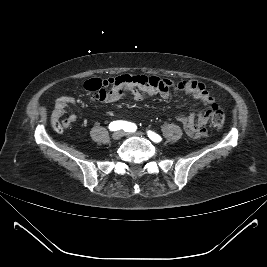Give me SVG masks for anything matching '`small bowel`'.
<instances>
[{
    "instance_id": "small-bowel-1",
    "label": "small bowel",
    "mask_w": 267,
    "mask_h": 267,
    "mask_svg": "<svg viewBox=\"0 0 267 267\" xmlns=\"http://www.w3.org/2000/svg\"><path fill=\"white\" fill-rule=\"evenodd\" d=\"M146 76L124 74L107 79L92 78L84 83V87L91 93L94 101L103 103H113L121 99L126 93L131 94L136 100H141L147 96L159 94L163 99H168L171 90H177L180 94H190L205 106H211L214 99L210 96L202 82L196 80H185L178 83L167 79H159L161 88L155 91L148 90L143 80ZM156 78V77H155ZM75 103L71 96H62L57 99L53 111L55 118L62 117L70 104ZM210 117V111L191 112L188 115H178L176 117L188 136L201 139L206 136V125ZM77 121L76 114H70L63 120V126L68 127Z\"/></svg>"
}]
</instances>
